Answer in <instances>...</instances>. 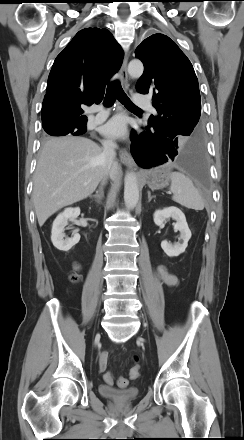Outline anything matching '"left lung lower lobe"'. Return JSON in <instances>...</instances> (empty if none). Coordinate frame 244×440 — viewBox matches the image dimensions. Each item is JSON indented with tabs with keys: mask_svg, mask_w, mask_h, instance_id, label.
I'll use <instances>...</instances> for the list:
<instances>
[{
	"mask_svg": "<svg viewBox=\"0 0 244 440\" xmlns=\"http://www.w3.org/2000/svg\"><path fill=\"white\" fill-rule=\"evenodd\" d=\"M131 153L135 162L143 168H151L174 161L190 175L204 180L206 156L203 135L180 146L178 141L168 137L157 124H148L132 131Z\"/></svg>",
	"mask_w": 244,
	"mask_h": 440,
	"instance_id": "obj_1",
	"label": "left lung lower lobe"
}]
</instances>
